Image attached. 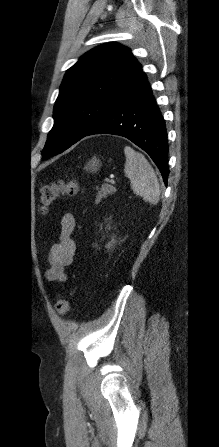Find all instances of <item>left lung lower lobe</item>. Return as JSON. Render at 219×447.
Instances as JSON below:
<instances>
[{
    "mask_svg": "<svg viewBox=\"0 0 219 447\" xmlns=\"http://www.w3.org/2000/svg\"><path fill=\"white\" fill-rule=\"evenodd\" d=\"M94 134H113L131 140L149 154L167 185V132L151 87L142 71L131 87L86 136Z\"/></svg>",
    "mask_w": 219,
    "mask_h": 447,
    "instance_id": "1",
    "label": "left lung lower lobe"
}]
</instances>
